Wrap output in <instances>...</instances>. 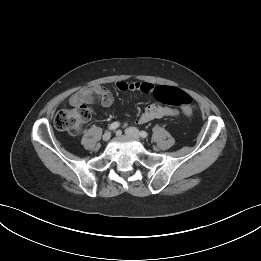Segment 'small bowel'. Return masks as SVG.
Returning <instances> with one entry per match:
<instances>
[{"label":"small bowel","instance_id":"obj_1","mask_svg":"<svg viewBox=\"0 0 261 261\" xmlns=\"http://www.w3.org/2000/svg\"><path fill=\"white\" fill-rule=\"evenodd\" d=\"M116 88L120 91H140L143 93H152L155 90L153 84L148 82H125L116 83ZM113 95L110 90L102 85L84 87L70 97L72 106L98 101L103 107L108 108L113 104ZM178 114V110L170 107H164L159 104L146 106L139 118L138 123L144 124L154 119L163 117H173Z\"/></svg>","mask_w":261,"mask_h":261}]
</instances>
